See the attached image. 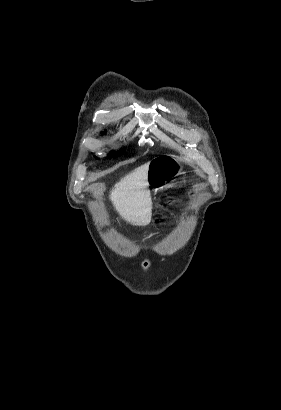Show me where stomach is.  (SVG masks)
I'll use <instances>...</instances> for the list:
<instances>
[{"label":"stomach","instance_id":"1","mask_svg":"<svg viewBox=\"0 0 281 410\" xmlns=\"http://www.w3.org/2000/svg\"><path fill=\"white\" fill-rule=\"evenodd\" d=\"M183 170L182 160L174 155H161L149 162L148 179L149 187L155 190L165 188L169 181L180 175Z\"/></svg>","mask_w":281,"mask_h":410}]
</instances>
